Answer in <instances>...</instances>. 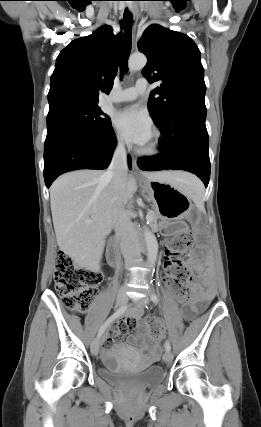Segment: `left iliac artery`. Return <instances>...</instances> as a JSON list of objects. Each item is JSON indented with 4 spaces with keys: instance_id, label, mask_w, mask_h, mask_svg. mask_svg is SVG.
<instances>
[{
    "instance_id": "1",
    "label": "left iliac artery",
    "mask_w": 261,
    "mask_h": 427,
    "mask_svg": "<svg viewBox=\"0 0 261 427\" xmlns=\"http://www.w3.org/2000/svg\"><path fill=\"white\" fill-rule=\"evenodd\" d=\"M150 299L153 303H156L158 301L157 295L154 292H151ZM145 307L147 308V306H145ZM165 349H166V351L171 350V345H170L169 341L165 342Z\"/></svg>"
}]
</instances>
